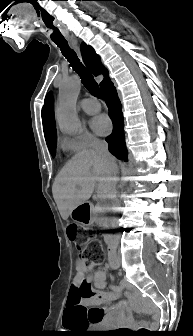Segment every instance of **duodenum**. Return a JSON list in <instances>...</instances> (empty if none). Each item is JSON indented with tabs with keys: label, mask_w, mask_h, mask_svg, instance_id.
Returning <instances> with one entry per match:
<instances>
[{
	"label": "duodenum",
	"mask_w": 193,
	"mask_h": 336,
	"mask_svg": "<svg viewBox=\"0 0 193 336\" xmlns=\"http://www.w3.org/2000/svg\"><path fill=\"white\" fill-rule=\"evenodd\" d=\"M109 240H112L111 237H108ZM110 259H111V263H112V267L113 268H116V254H115V251H114V247L112 246L111 249H110ZM119 259V258H118ZM118 259H117V262H118ZM142 301L141 299H136V305H141Z\"/></svg>",
	"instance_id": "obj_1"
}]
</instances>
